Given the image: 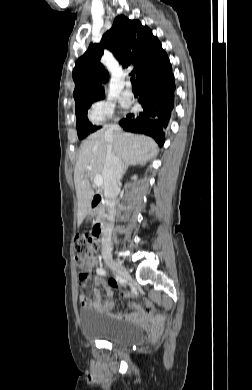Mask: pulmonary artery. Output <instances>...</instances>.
I'll list each match as a JSON object with an SVG mask.
<instances>
[{"label":"pulmonary artery","instance_id":"obj_1","mask_svg":"<svg viewBox=\"0 0 252 390\" xmlns=\"http://www.w3.org/2000/svg\"><path fill=\"white\" fill-rule=\"evenodd\" d=\"M123 95L127 98H131L133 96V91L131 87V83L129 81L125 82V87L123 90Z\"/></svg>","mask_w":252,"mask_h":390}]
</instances>
